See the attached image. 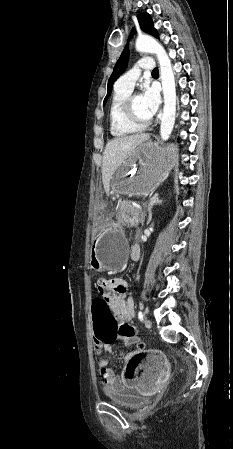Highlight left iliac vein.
<instances>
[{"label": "left iliac vein", "instance_id": "obj_1", "mask_svg": "<svg viewBox=\"0 0 233 449\" xmlns=\"http://www.w3.org/2000/svg\"><path fill=\"white\" fill-rule=\"evenodd\" d=\"M144 324L148 329L152 327V322L148 318H145Z\"/></svg>", "mask_w": 233, "mask_h": 449}]
</instances>
